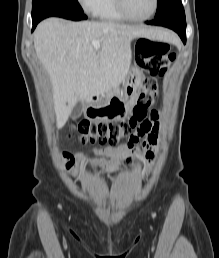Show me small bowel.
Returning a JSON list of instances; mask_svg holds the SVG:
<instances>
[{"instance_id":"1","label":"small bowel","mask_w":219,"mask_h":258,"mask_svg":"<svg viewBox=\"0 0 219 258\" xmlns=\"http://www.w3.org/2000/svg\"><path fill=\"white\" fill-rule=\"evenodd\" d=\"M151 121L142 124L137 132L125 145L116 148L105 147L98 150L103 159L94 162L100 172L112 173L117 171L123 164L134 165L136 160L142 162L153 160L155 157L154 149L158 143V132L160 128L159 112L152 111ZM146 136L143 150L138 149L139 139Z\"/></svg>"}]
</instances>
